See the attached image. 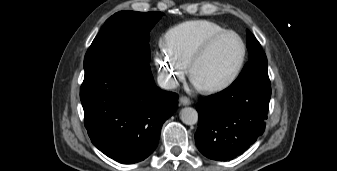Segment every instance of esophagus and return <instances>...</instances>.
<instances>
[{
    "instance_id": "1",
    "label": "esophagus",
    "mask_w": 337,
    "mask_h": 171,
    "mask_svg": "<svg viewBox=\"0 0 337 171\" xmlns=\"http://www.w3.org/2000/svg\"><path fill=\"white\" fill-rule=\"evenodd\" d=\"M179 101H180V104L184 106H188L191 104V100L185 96H181Z\"/></svg>"
}]
</instances>
